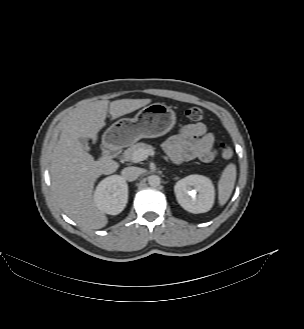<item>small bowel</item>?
<instances>
[{
	"mask_svg": "<svg viewBox=\"0 0 304 329\" xmlns=\"http://www.w3.org/2000/svg\"><path fill=\"white\" fill-rule=\"evenodd\" d=\"M214 140L204 123L187 124L165 142L164 149L175 164L194 159L209 163L216 156Z\"/></svg>",
	"mask_w": 304,
	"mask_h": 329,
	"instance_id": "small-bowel-1",
	"label": "small bowel"
}]
</instances>
